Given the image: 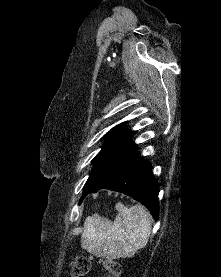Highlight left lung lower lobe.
I'll return each instance as SVG.
<instances>
[{
  "label": "left lung lower lobe",
  "instance_id": "left-lung-lower-lobe-1",
  "mask_svg": "<svg viewBox=\"0 0 221 277\" xmlns=\"http://www.w3.org/2000/svg\"><path fill=\"white\" fill-rule=\"evenodd\" d=\"M100 189H109L126 194L143 204L155 219H158V182L153 177L151 165L137 154L126 166L113 176L83 190L81 201L86 195Z\"/></svg>",
  "mask_w": 221,
  "mask_h": 277
}]
</instances>
